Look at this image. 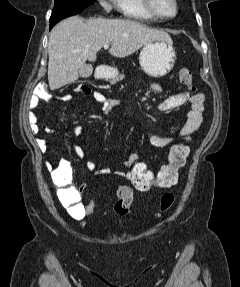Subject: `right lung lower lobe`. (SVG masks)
Instances as JSON below:
<instances>
[{
	"label": "right lung lower lobe",
	"mask_w": 240,
	"mask_h": 287,
	"mask_svg": "<svg viewBox=\"0 0 240 287\" xmlns=\"http://www.w3.org/2000/svg\"><path fill=\"white\" fill-rule=\"evenodd\" d=\"M57 22H58V21H57ZM57 22H54V23L50 24V30L52 29V27H53Z\"/></svg>",
	"instance_id": "98d812e1"
}]
</instances>
